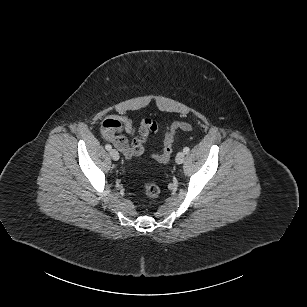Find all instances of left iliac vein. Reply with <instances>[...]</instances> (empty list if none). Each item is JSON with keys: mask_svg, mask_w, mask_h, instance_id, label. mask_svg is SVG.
Listing matches in <instances>:
<instances>
[{"mask_svg": "<svg viewBox=\"0 0 307 307\" xmlns=\"http://www.w3.org/2000/svg\"><path fill=\"white\" fill-rule=\"evenodd\" d=\"M185 159V153L184 152H179L177 155H176V163L177 164H182L183 161Z\"/></svg>", "mask_w": 307, "mask_h": 307, "instance_id": "4c4485c4", "label": "left iliac vein"}]
</instances>
